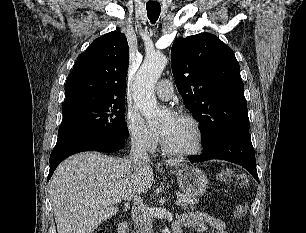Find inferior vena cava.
<instances>
[{
    "label": "inferior vena cava",
    "instance_id": "inferior-vena-cava-1",
    "mask_svg": "<svg viewBox=\"0 0 306 233\" xmlns=\"http://www.w3.org/2000/svg\"><path fill=\"white\" fill-rule=\"evenodd\" d=\"M130 160L136 166L146 165L150 162L147 154V144L142 140H134L130 151ZM131 216L136 223L140 233H152V218L148 213L147 207L143 204L140 195L133 200Z\"/></svg>",
    "mask_w": 306,
    "mask_h": 233
}]
</instances>
